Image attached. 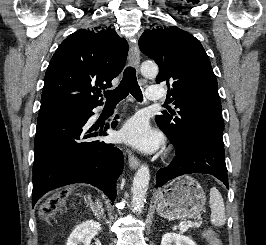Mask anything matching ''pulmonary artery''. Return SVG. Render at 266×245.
<instances>
[{
    "instance_id": "1",
    "label": "pulmonary artery",
    "mask_w": 266,
    "mask_h": 245,
    "mask_svg": "<svg viewBox=\"0 0 266 245\" xmlns=\"http://www.w3.org/2000/svg\"><path fill=\"white\" fill-rule=\"evenodd\" d=\"M161 90V86H147L146 95L148 96V101H161Z\"/></svg>"
}]
</instances>
